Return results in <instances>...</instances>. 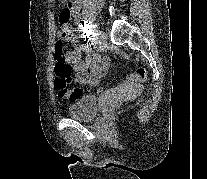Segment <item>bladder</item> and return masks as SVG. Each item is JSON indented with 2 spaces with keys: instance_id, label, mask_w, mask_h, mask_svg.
<instances>
[{
  "instance_id": "31cf9c89",
  "label": "bladder",
  "mask_w": 207,
  "mask_h": 179,
  "mask_svg": "<svg viewBox=\"0 0 207 179\" xmlns=\"http://www.w3.org/2000/svg\"><path fill=\"white\" fill-rule=\"evenodd\" d=\"M99 109V100L92 95H83L72 101L68 107L71 118L81 121L92 120Z\"/></svg>"
}]
</instances>
